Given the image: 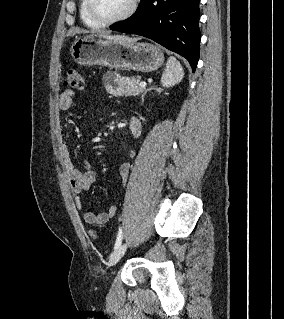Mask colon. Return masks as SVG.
Instances as JSON below:
<instances>
[{"mask_svg": "<svg viewBox=\"0 0 284 319\" xmlns=\"http://www.w3.org/2000/svg\"><path fill=\"white\" fill-rule=\"evenodd\" d=\"M65 86L74 88V89H81L84 85L83 78L79 72V70L75 68H69L66 71V76H65ZM88 235L91 239H95L97 237L96 232L93 229H90L88 231Z\"/></svg>", "mask_w": 284, "mask_h": 319, "instance_id": "1", "label": "colon"}]
</instances>
